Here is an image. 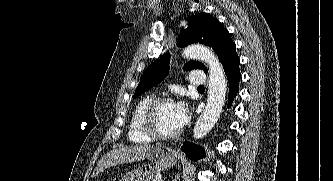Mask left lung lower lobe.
<instances>
[{"label": "left lung lower lobe", "instance_id": "0a47b994", "mask_svg": "<svg viewBox=\"0 0 333 181\" xmlns=\"http://www.w3.org/2000/svg\"><path fill=\"white\" fill-rule=\"evenodd\" d=\"M221 63L229 81L228 107H230L238 92L240 81L239 57L236 53V46L229 51ZM182 151L192 160H198L204 156L202 148L191 142H185Z\"/></svg>", "mask_w": 333, "mask_h": 181}]
</instances>
